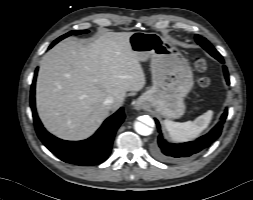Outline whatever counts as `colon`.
<instances>
[{"instance_id": "1", "label": "colon", "mask_w": 253, "mask_h": 200, "mask_svg": "<svg viewBox=\"0 0 253 200\" xmlns=\"http://www.w3.org/2000/svg\"><path fill=\"white\" fill-rule=\"evenodd\" d=\"M195 68L197 69L198 72L205 73L207 70V62L205 61V59L198 57L195 60ZM198 83L201 88L207 89L211 84V80L208 76L204 75L200 77Z\"/></svg>"}]
</instances>
